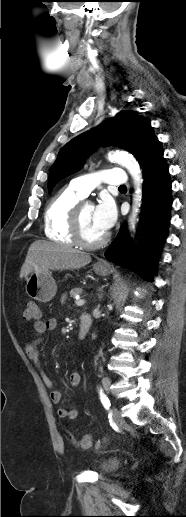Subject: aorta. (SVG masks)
<instances>
[{"instance_id": "762f6f07", "label": "aorta", "mask_w": 186, "mask_h": 517, "mask_svg": "<svg viewBox=\"0 0 186 517\" xmlns=\"http://www.w3.org/2000/svg\"><path fill=\"white\" fill-rule=\"evenodd\" d=\"M109 159L124 166L133 178L135 194L133 197L132 213L129 217V229L130 231H135V226L138 221V213L140 211L142 199L143 179L140 166L131 154L124 151H116L110 153Z\"/></svg>"}]
</instances>
